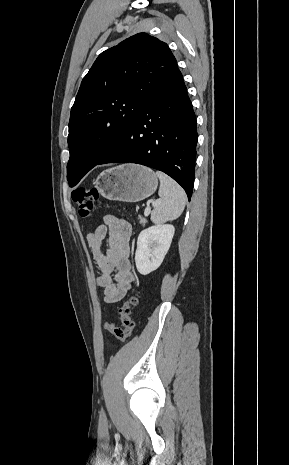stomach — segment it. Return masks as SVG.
I'll return each instance as SVG.
<instances>
[{"mask_svg": "<svg viewBox=\"0 0 289 465\" xmlns=\"http://www.w3.org/2000/svg\"><path fill=\"white\" fill-rule=\"evenodd\" d=\"M94 185L106 199L139 202L157 189L158 179L152 169L137 164H123L100 173Z\"/></svg>", "mask_w": 289, "mask_h": 465, "instance_id": "1", "label": "stomach"}]
</instances>
